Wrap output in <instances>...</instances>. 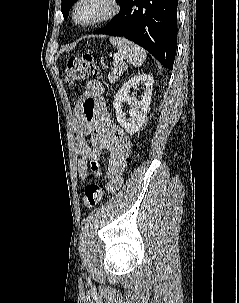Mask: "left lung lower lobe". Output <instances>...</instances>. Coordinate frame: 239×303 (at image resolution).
Masks as SVG:
<instances>
[{
	"label": "left lung lower lobe",
	"mask_w": 239,
	"mask_h": 303,
	"mask_svg": "<svg viewBox=\"0 0 239 303\" xmlns=\"http://www.w3.org/2000/svg\"><path fill=\"white\" fill-rule=\"evenodd\" d=\"M178 0H124L118 15L94 34L122 36L172 70L177 46Z\"/></svg>",
	"instance_id": "left-lung-lower-lobe-1"
}]
</instances>
